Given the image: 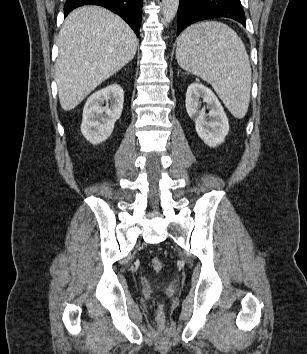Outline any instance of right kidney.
Wrapping results in <instances>:
<instances>
[{
  "label": "right kidney",
  "mask_w": 307,
  "mask_h": 354,
  "mask_svg": "<svg viewBox=\"0 0 307 354\" xmlns=\"http://www.w3.org/2000/svg\"><path fill=\"white\" fill-rule=\"evenodd\" d=\"M123 102L124 91L118 84L100 89L88 98L81 124V132L87 141L99 144L109 138L121 116Z\"/></svg>",
  "instance_id": "obj_1"
}]
</instances>
